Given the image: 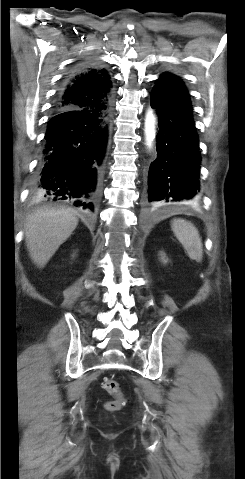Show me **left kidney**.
I'll return each instance as SVG.
<instances>
[{
	"mask_svg": "<svg viewBox=\"0 0 245 479\" xmlns=\"http://www.w3.org/2000/svg\"><path fill=\"white\" fill-rule=\"evenodd\" d=\"M161 260L163 263H167V259H165V254L164 253H161Z\"/></svg>",
	"mask_w": 245,
	"mask_h": 479,
	"instance_id": "obj_1",
	"label": "left kidney"
}]
</instances>
